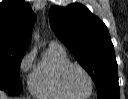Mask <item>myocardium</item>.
I'll list each match as a JSON object with an SVG mask.
<instances>
[{"label": "myocardium", "mask_w": 128, "mask_h": 99, "mask_svg": "<svg viewBox=\"0 0 128 99\" xmlns=\"http://www.w3.org/2000/svg\"><path fill=\"white\" fill-rule=\"evenodd\" d=\"M71 67H77L79 68L87 77L88 81H89V91L87 92L86 95H83V96H77V95H74L72 94L66 87L65 85V81H64V78H65V75H66V72L68 71V69H70ZM58 84H59V87L60 89L66 94L68 95L69 97H72L74 99H85V98H88L92 95L93 93V89H94V83H93V79H92V76L90 75V73L88 72V70L82 66L81 64L77 63V62H68L66 63L59 71V74H58Z\"/></svg>", "instance_id": "obj_1"}]
</instances>
